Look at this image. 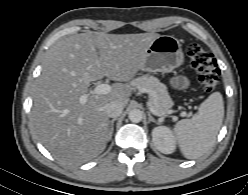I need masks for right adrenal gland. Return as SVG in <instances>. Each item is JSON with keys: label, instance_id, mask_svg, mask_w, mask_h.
<instances>
[{"label": "right adrenal gland", "instance_id": "2a0ac1e0", "mask_svg": "<svg viewBox=\"0 0 248 195\" xmlns=\"http://www.w3.org/2000/svg\"><path fill=\"white\" fill-rule=\"evenodd\" d=\"M117 120V118H113L110 122H109V131H108V140H111L112 138V134L114 131V122Z\"/></svg>", "mask_w": 248, "mask_h": 195}]
</instances>
